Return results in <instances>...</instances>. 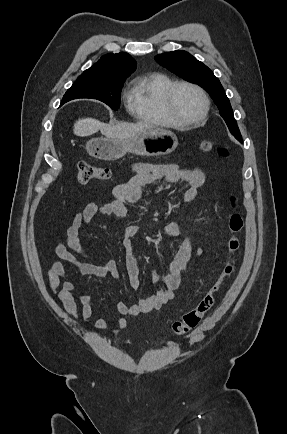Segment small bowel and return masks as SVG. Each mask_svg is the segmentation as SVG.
Instances as JSON below:
<instances>
[{
    "mask_svg": "<svg viewBox=\"0 0 287 434\" xmlns=\"http://www.w3.org/2000/svg\"><path fill=\"white\" fill-rule=\"evenodd\" d=\"M132 172L133 175L127 181L114 188V198L111 202L102 205L89 203L84 206L73 217L67 227L66 241L59 240L56 243L55 251L59 258L74 266L79 275L100 278L110 276L117 281L121 279L115 260L104 263L83 261L71 251L73 250L86 258H91V254L82 245L78 237L82 226L90 225L96 216L110 217L115 225H118L129 210L140 203L142 189L157 183H166L168 185H176L180 182L187 183L188 188L184 191L183 200L187 205H191L196 198L197 190L205 182V175L202 170L198 168L182 169L177 164L137 162L132 166ZM186 231L187 226L178 221L168 222L162 228V232L166 237H176ZM138 232L139 226L136 224H130L120 229L121 244L125 250L126 269L130 284L133 287L141 285L140 271L132 249V239ZM192 250L193 239L187 238L170 262L167 271L164 274L153 273L154 282L161 285V288L155 294L134 304L118 302L116 311L121 317L116 319L93 318V297L78 292L77 283L69 279L62 261L52 263L48 271V285L52 292L57 293L58 299L70 316L79 317L78 301L81 304L82 318L90 323L94 329H110L112 334H117L127 327L126 316L148 314L158 310L174 298L175 290L182 282V276L189 263Z\"/></svg>",
    "mask_w": 287,
    "mask_h": 434,
    "instance_id": "small-bowel-1",
    "label": "small bowel"
}]
</instances>
